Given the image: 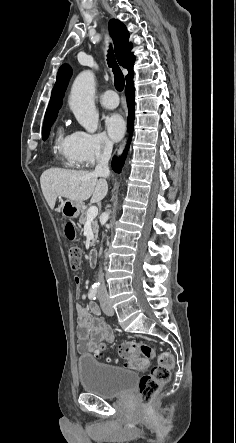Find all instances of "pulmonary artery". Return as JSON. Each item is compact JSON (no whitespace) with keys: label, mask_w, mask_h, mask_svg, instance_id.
<instances>
[{"label":"pulmonary artery","mask_w":236,"mask_h":443,"mask_svg":"<svg viewBox=\"0 0 236 443\" xmlns=\"http://www.w3.org/2000/svg\"><path fill=\"white\" fill-rule=\"evenodd\" d=\"M116 93L113 90H107L100 97V104L108 109L116 108L119 104V101L114 98Z\"/></svg>","instance_id":"obj_1"}]
</instances>
